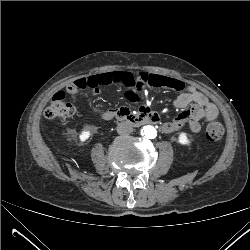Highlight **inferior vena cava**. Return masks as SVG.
<instances>
[{
  "mask_svg": "<svg viewBox=\"0 0 250 250\" xmlns=\"http://www.w3.org/2000/svg\"><path fill=\"white\" fill-rule=\"evenodd\" d=\"M133 132V127L128 122H121L117 126V133L120 135L130 134Z\"/></svg>",
  "mask_w": 250,
  "mask_h": 250,
  "instance_id": "obj_1",
  "label": "inferior vena cava"
}]
</instances>
